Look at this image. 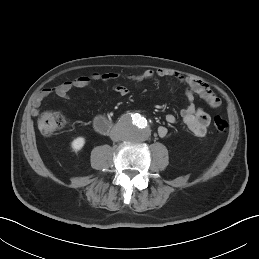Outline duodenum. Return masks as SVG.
I'll use <instances>...</instances> for the list:
<instances>
[{
	"label": "duodenum",
	"mask_w": 259,
	"mask_h": 259,
	"mask_svg": "<svg viewBox=\"0 0 259 259\" xmlns=\"http://www.w3.org/2000/svg\"><path fill=\"white\" fill-rule=\"evenodd\" d=\"M94 129L100 134L108 133L111 129V122L106 118H99L94 122Z\"/></svg>",
	"instance_id": "obj_1"
}]
</instances>
